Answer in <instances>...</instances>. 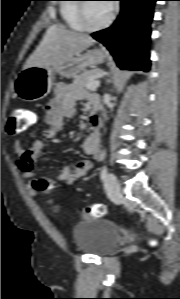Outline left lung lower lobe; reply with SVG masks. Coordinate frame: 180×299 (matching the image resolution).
Listing matches in <instances>:
<instances>
[{"instance_id": "left-lung-lower-lobe-1", "label": "left lung lower lobe", "mask_w": 180, "mask_h": 299, "mask_svg": "<svg viewBox=\"0 0 180 299\" xmlns=\"http://www.w3.org/2000/svg\"><path fill=\"white\" fill-rule=\"evenodd\" d=\"M120 1L121 12L113 25L91 36L107 47L122 69L147 72L150 67V23L157 0Z\"/></svg>"}]
</instances>
